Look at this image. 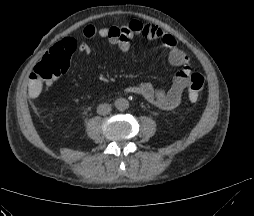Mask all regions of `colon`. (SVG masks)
Masks as SVG:
<instances>
[{"label": "colon", "instance_id": "5ec220e1", "mask_svg": "<svg viewBox=\"0 0 254 216\" xmlns=\"http://www.w3.org/2000/svg\"><path fill=\"white\" fill-rule=\"evenodd\" d=\"M69 56L58 49H52L46 53L35 66L27 83L25 95L31 101H42L52 89L53 80L63 75L69 67ZM205 78L200 72H192L188 82V96L191 102H195L202 92Z\"/></svg>", "mask_w": 254, "mask_h": 216}]
</instances>
